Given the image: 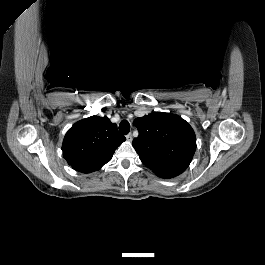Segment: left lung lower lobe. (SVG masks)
<instances>
[{
	"label": "left lung lower lobe",
	"mask_w": 265,
	"mask_h": 265,
	"mask_svg": "<svg viewBox=\"0 0 265 265\" xmlns=\"http://www.w3.org/2000/svg\"><path fill=\"white\" fill-rule=\"evenodd\" d=\"M190 163L182 162L169 165L167 167L154 169L155 174L161 178L170 179L180 175L189 166Z\"/></svg>",
	"instance_id": "0a47b994"
}]
</instances>
